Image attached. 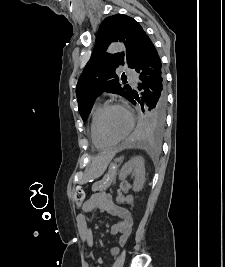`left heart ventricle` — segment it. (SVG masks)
Returning a JSON list of instances; mask_svg holds the SVG:
<instances>
[{"label": "left heart ventricle", "instance_id": "obj_1", "mask_svg": "<svg viewBox=\"0 0 225 267\" xmlns=\"http://www.w3.org/2000/svg\"><path fill=\"white\" fill-rule=\"evenodd\" d=\"M129 123V116L125 110L112 109L103 120L104 134L112 140L119 139L126 133Z\"/></svg>", "mask_w": 225, "mask_h": 267}]
</instances>
